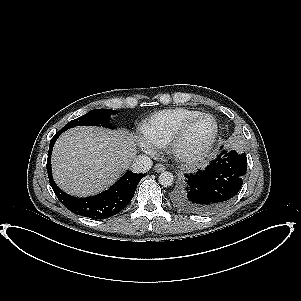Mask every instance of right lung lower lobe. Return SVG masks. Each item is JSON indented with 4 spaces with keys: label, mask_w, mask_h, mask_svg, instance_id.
Segmentation results:
<instances>
[{
    "label": "right lung lower lobe",
    "mask_w": 301,
    "mask_h": 301,
    "mask_svg": "<svg viewBox=\"0 0 301 301\" xmlns=\"http://www.w3.org/2000/svg\"><path fill=\"white\" fill-rule=\"evenodd\" d=\"M63 131L60 130L50 141L47 172L52 189L58 199L70 211L93 219H104L119 213L131 201L139 181L145 174L126 172L110 189L87 198H76L64 193L55 184L51 173V153L55 141Z\"/></svg>",
    "instance_id": "98d812e1"
}]
</instances>
